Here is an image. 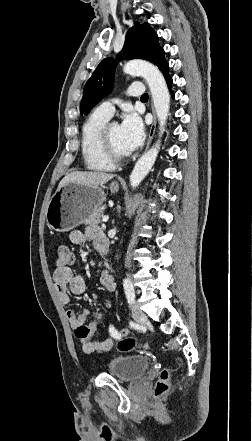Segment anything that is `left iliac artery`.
Returning a JSON list of instances; mask_svg holds the SVG:
<instances>
[{"instance_id": "1", "label": "left iliac artery", "mask_w": 252, "mask_h": 441, "mask_svg": "<svg viewBox=\"0 0 252 441\" xmlns=\"http://www.w3.org/2000/svg\"><path fill=\"white\" fill-rule=\"evenodd\" d=\"M123 286L126 297L128 299V303L132 304L135 299V293L131 281L129 279H124ZM108 330L110 331V334L113 335L114 341H122L124 339L123 333H120L119 329L116 328L115 325L109 324Z\"/></svg>"}]
</instances>
